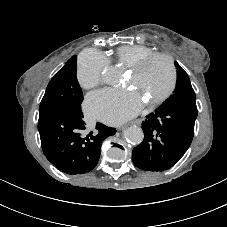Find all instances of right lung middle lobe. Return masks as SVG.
<instances>
[{
  "label": "right lung middle lobe",
  "instance_id": "dd1d6c3e",
  "mask_svg": "<svg viewBox=\"0 0 227 227\" xmlns=\"http://www.w3.org/2000/svg\"><path fill=\"white\" fill-rule=\"evenodd\" d=\"M76 56H72L50 80L39 106V121L62 111H81L82 90L76 77Z\"/></svg>",
  "mask_w": 227,
  "mask_h": 227
}]
</instances>
